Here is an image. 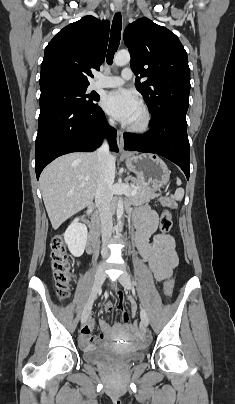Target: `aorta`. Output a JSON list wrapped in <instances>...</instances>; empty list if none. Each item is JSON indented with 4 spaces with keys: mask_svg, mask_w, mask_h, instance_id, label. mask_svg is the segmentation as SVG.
Masks as SVG:
<instances>
[{
    "mask_svg": "<svg viewBox=\"0 0 235 404\" xmlns=\"http://www.w3.org/2000/svg\"><path fill=\"white\" fill-rule=\"evenodd\" d=\"M130 62V53L127 50H120L114 56V63L116 66H124ZM123 215V201L121 199L118 200L117 203V219L119 229L122 230V218Z\"/></svg>",
    "mask_w": 235,
    "mask_h": 404,
    "instance_id": "1",
    "label": "aorta"
}]
</instances>
